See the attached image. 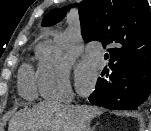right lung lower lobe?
<instances>
[{
    "instance_id": "right-lung-lower-lobe-1",
    "label": "right lung lower lobe",
    "mask_w": 151,
    "mask_h": 131,
    "mask_svg": "<svg viewBox=\"0 0 151 131\" xmlns=\"http://www.w3.org/2000/svg\"><path fill=\"white\" fill-rule=\"evenodd\" d=\"M112 74L99 78L89 101L112 110H136L151 93V64L129 69L111 67Z\"/></svg>"
}]
</instances>
